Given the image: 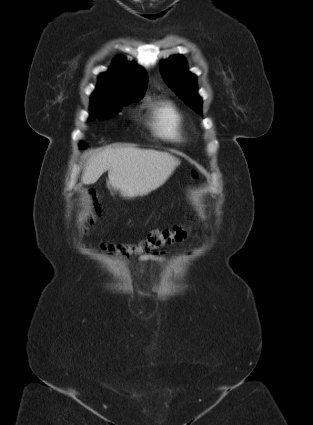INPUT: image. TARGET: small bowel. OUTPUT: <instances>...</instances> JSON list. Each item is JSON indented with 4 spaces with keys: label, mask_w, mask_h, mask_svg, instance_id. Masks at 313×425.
I'll list each match as a JSON object with an SVG mask.
<instances>
[{
    "label": "small bowel",
    "mask_w": 313,
    "mask_h": 425,
    "mask_svg": "<svg viewBox=\"0 0 313 425\" xmlns=\"http://www.w3.org/2000/svg\"><path fill=\"white\" fill-rule=\"evenodd\" d=\"M139 262L140 263H145V262L164 263L165 258L162 257V256L155 255V254H144V255H141L139 257ZM155 289L157 290L158 287H155Z\"/></svg>",
    "instance_id": "obj_1"
}]
</instances>
